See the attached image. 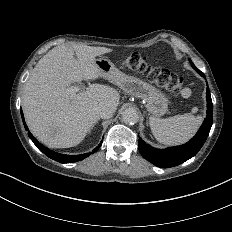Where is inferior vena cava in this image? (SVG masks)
I'll list each match as a JSON object with an SVG mask.
<instances>
[{"label":"inferior vena cava","instance_id":"602c4592","mask_svg":"<svg viewBox=\"0 0 232 232\" xmlns=\"http://www.w3.org/2000/svg\"><path fill=\"white\" fill-rule=\"evenodd\" d=\"M96 113L100 118L108 119L112 117L114 111L109 107L100 106L97 108Z\"/></svg>","mask_w":232,"mask_h":232}]
</instances>
